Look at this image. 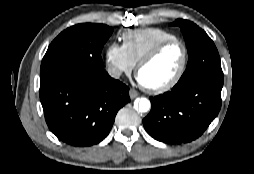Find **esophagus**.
I'll use <instances>...</instances> for the list:
<instances>
[{"instance_id": "1", "label": "esophagus", "mask_w": 254, "mask_h": 174, "mask_svg": "<svg viewBox=\"0 0 254 174\" xmlns=\"http://www.w3.org/2000/svg\"><path fill=\"white\" fill-rule=\"evenodd\" d=\"M138 95L139 94H138V92L136 90H134V89H130L129 90V96H130L131 99L136 98Z\"/></svg>"}]
</instances>
